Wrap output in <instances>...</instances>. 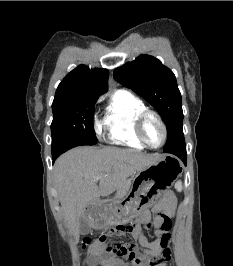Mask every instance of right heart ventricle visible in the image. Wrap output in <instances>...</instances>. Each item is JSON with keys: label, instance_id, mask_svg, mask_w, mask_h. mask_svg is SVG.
I'll return each instance as SVG.
<instances>
[{"label": "right heart ventricle", "instance_id": "right-heart-ventricle-1", "mask_svg": "<svg viewBox=\"0 0 233 266\" xmlns=\"http://www.w3.org/2000/svg\"><path fill=\"white\" fill-rule=\"evenodd\" d=\"M144 110V102L132 92L125 89L114 91L103 118L109 141L138 150L144 149L145 146L135 132L137 117Z\"/></svg>", "mask_w": 233, "mask_h": 266}]
</instances>
